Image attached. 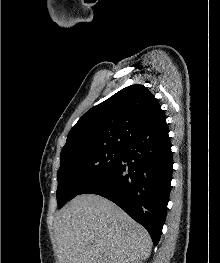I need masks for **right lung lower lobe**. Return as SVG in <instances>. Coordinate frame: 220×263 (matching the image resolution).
<instances>
[{
	"label": "right lung lower lobe",
	"mask_w": 220,
	"mask_h": 263,
	"mask_svg": "<svg viewBox=\"0 0 220 263\" xmlns=\"http://www.w3.org/2000/svg\"><path fill=\"white\" fill-rule=\"evenodd\" d=\"M121 159L80 194L103 196L143 225L157 245L167 213L172 179L168 132L140 138L123 149Z\"/></svg>",
	"instance_id": "right-lung-lower-lobe-1"
}]
</instances>
